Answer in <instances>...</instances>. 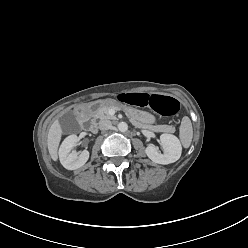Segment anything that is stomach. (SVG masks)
<instances>
[{"label":"stomach","mask_w":248,"mask_h":248,"mask_svg":"<svg viewBox=\"0 0 248 248\" xmlns=\"http://www.w3.org/2000/svg\"><path fill=\"white\" fill-rule=\"evenodd\" d=\"M110 106L112 108H117L123 113H126L131 118L141 122V123H152L154 122V118L152 115L146 112L137 111L132 109L131 107L125 105L123 102L112 100V99H101L93 102L89 105L90 111H95L101 107Z\"/></svg>","instance_id":"obj_1"}]
</instances>
